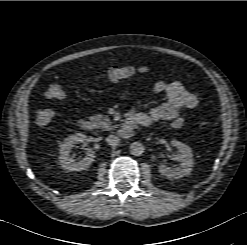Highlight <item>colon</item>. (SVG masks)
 <instances>
[{"instance_id": "obj_1", "label": "colon", "mask_w": 247, "mask_h": 245, "mask_svg": "<svg viewBox=\"0 0 247 245\" xmlns=\"http://www.w3.org/2000/svg\"><path fill=\"white\" fill-rule=\"evenodd\" d=\"M147 70L148 68L146 66H140L139 68L132 66H113L107 70L106 77L108 80L115 82L131 78L135 74L146 72ZM45 95L48 99L62 100L65 97V92L60 85L52 84L47 88ZM54 115V111L49 108H39L35 112L36 122L41 126L48 125L53 121ZM184 124L185 120L183 118H177L173 121L172 126L181 128Z\"/></svg>"}]
</instances>
